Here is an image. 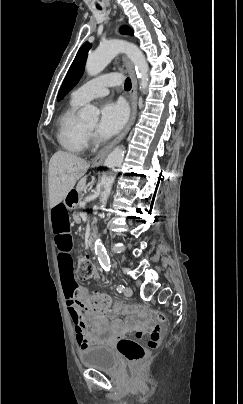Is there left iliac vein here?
I'll list each match as a JSON object with an SVG mask.
<instances>
[{
	"label": "left iliac vein",
	"mask_w": 243,
	"mask_h": 404,
	"mask_svg": "<svg viewBox=\"0 0 243 404\" xmlns=\"http://www.w3.org/2000/svg\"><path fill=\"white\" fill-rule=\"evenodd\" d=\"M124 294H125V296L130 297V296H132L133 291L130 287H126L124 290Z\"/></svg>",
	"instance_id": "obj_1"
}]
</instances>
